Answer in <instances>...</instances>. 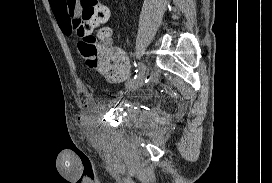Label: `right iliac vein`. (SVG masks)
<instances>
[{"mask_svg": "<svg viewBox=\"0 0 272 183\" xmlns=\"http://www.w3.org/2000/svg\"><path fill=\"white\" fill-rule=\"evenodd\" d=\"M143 71V74L141 75V78H138V81H128L126 83V89L127 90H135L142 86L144 78H145V69H140Z\"/></svg>", "mask_w": 272, "mask_h": 183, "instance_id": "obj_1", "label": "right iliac vein"}]
</instances>
